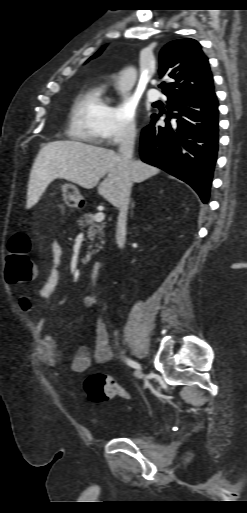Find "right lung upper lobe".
I'll list each match as a JSON object with an SVG mask.
<instances>
[{"label":"right lung upper lobe","mask_w":247,"mask_h":513,"mask_svg":"<svg viewBox=\"0 0 247 513\" xmlns=\"http://www.w3.org/2000/svg\"><path fill=\"white\" fill-rule=\"evenodd\" d=\"M104 48V47H103ZM100 49L94 56H98ZM160 76L168 75L174 82L163 89L168 97L200 95L214 89L208 58L194 39H180L168 43L160 52Z\"/></svg>","instance_id":"cb5924a9"}]
</instances>
